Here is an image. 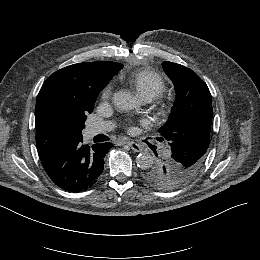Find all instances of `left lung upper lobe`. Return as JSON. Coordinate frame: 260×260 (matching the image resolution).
<instances>
[{"label": "left lung upper lobe", "instance_id": "left-lung-upper-lobe-1", "mask_svg": "<svg viewBox=\"0 0 260 260\" xmlns=\"http://www.w3.org/2000/svg\"><path fill=\"white\" fill-rule=\"evenodd\" d=\"M173 81L176 100L159 132L168 140L172 154L143 171L144 180L156 188L174 189L189 181L203 165L210 142L211 94L203 80L180 64L163 62Z\"/></svg>", "mask_w": 260, "mask_h": 260}]
</instances>
